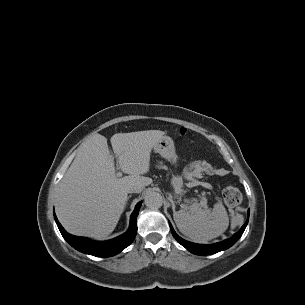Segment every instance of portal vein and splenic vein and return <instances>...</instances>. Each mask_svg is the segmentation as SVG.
Returning a JSON list of instances; mask_svg holds the SVG:
<instances>
[{
	"label": "portal vein and splenic vein",
	"instance_id": "obj_1",
	"mask_svg": "<svg viewBox=\"0 0 305 305\" xmlns=\"http://www.w3.org/2000/svg\"><path fill=\"white\" fill-rule=\"evenodd\" d=\"M117 177H122V172L118 171L116 174ZM200 207H204L207 209V199L202 197L200 203H198Z\"/></svg>",
	"mask_w": 305,
	"mask_h": 305
}]
</instances>
